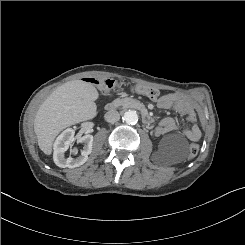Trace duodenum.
<instances>
[{
	"label": "duodenum",
	"instance_id": "410a0bca",
	"mask_svg": "<svg viewBox=\"0 0 245 245\" xmlns=\"http://www.w3.org/2000/svg\"><path fill=\"white\" fill-rule=\"evenodd\" d=\"M117 104L116 103H108L106 106H105V109L106 110H113L114 108H116ZM142 116H143V120L146 122V123H150L151 122V117L149 116V114L147 113V111L145 109H142Z\"/></svg>",
	"mask_w": 245,
	"mask_h": 245
}]
</instances>
